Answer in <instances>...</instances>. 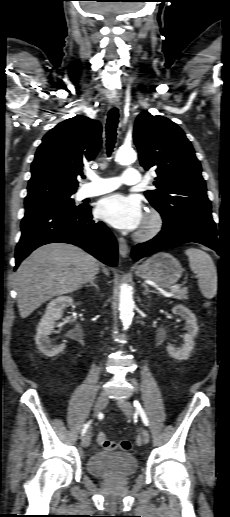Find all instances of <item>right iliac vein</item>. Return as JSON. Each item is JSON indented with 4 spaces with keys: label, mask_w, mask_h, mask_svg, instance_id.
<instances>
[{
    "label": "right iliac vein",
    "mask_w": 230,
    "mask_h": 517,
    "mask_svg": "<svg viewBox=\"0 0 230 517\" xmlns=\"http://www.w3.org/2000/svg\"><path fill=\"white\" fill-rule=\"evenodd\" d=\"M107 404H108V395H107V393L102 392L96 400L95 407H94V415L96 416V415L100 414L103 411V409L107 406ZM90 441H91V433H90V430H88L83 437V441H82L83 447H85V448L89 447Z\"/></svg>",
    "instance_id": "obj_1"
}]
</instances>
